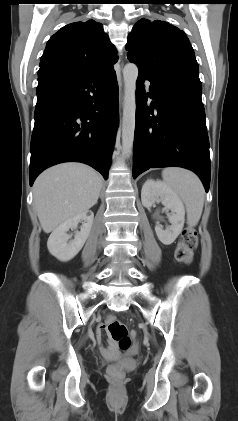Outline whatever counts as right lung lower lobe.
I'll list each match as a JSON object with an SVG mask.
<instances>
[{
	"label": "right lung lower lobe",
	"mask_w": 238,
	"mask_h": 421,
	"mask_svg": "<svg viewBox=\"0 0 238 421\" xmlns=\"http://www.w3.org/2000/svg\"><path fill=\"white\" fill-rule=\"evenodd\" d=\"M29 180L68 161L86 163L105 179L118 128V84L111 69L38 78Z\"/></svg>",
	"instance_id": "1"
}]
</instances>
